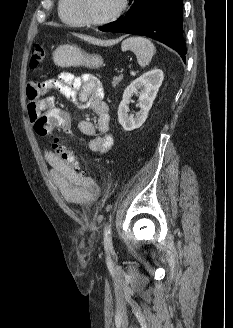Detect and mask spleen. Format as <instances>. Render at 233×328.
<instances>
[{
	"label": "spleen",
	"mask_w": 233,
	"mask_h": 328,
	"mask_svg": "<svg viewBox=\"0 0 233 328\" xmlns=\"http://www.w3.org/2000/svg\"><path fill=\"white\" fill-rule=\"evenodd\" d=\"M122 51L130 50L136 57L141 67L147 66L156 52L154 44L147 38L133 36L125 39L121 45Z\"/></svg>",
	"instance_id": "spleen-1"
}]
</instances>
